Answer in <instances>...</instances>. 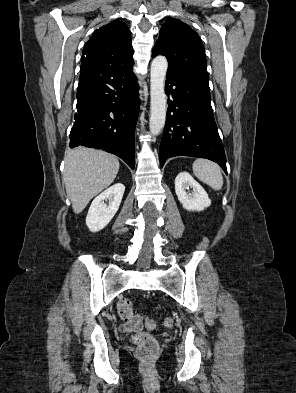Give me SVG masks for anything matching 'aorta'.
Wrapping results in <instances>:
<instances>
[{"instance_id":"762f6f07","label":"aorta","mask_w":296,"mask_h":393,"mask_svg":"<svg viewBox=\"0 0 296 393\" xmlns=\"http://www.w3.org/2000/svg\"><path fill=\"white\" fill-rule=\"evenodd\" d=\"M167 68V59L162 55L156 56L151 63L149 130L152 135H158L165 125L167 105L164 87Z\"/></svg>"}]
</instances>
